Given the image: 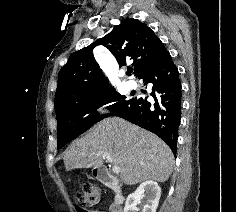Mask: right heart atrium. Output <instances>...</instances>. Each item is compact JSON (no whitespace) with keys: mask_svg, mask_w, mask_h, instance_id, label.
I'll return each instance as SVG.
<instances>
[{"mask_svg":"<svg viewBox=\"0 0 236 212\" xmlns=\"http://www.w3.org/2000/svg\"><path fill=\"white\" fill-rule=\"evenodd\" d=\"M106 105L104 104H97L94 108L96 114H101L106 110Z\"/></svg>","mask_w":236,"mask_h":212,"instance_id":"1","label":"right heart atrium"}]
</instances>
